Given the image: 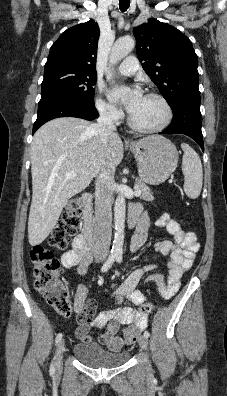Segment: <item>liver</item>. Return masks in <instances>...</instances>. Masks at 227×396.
Returning <instances> with one entry per match:
<instances>
[{"mask_svg": "<svg viewBox=\"0 0 227 396\" xmlns=\"http://www.w3.org/2000/svg\"><path fill=\"white\" fill-rule=\"evenodd\" d=\"M95 124L76 117L53 119L37 130L31 144L32 202L28 219L31 246L42 243L55 227L67 201L89 186L105 166L123 158L117 133L104 145ZM76 176L67 178L66 173Z\"/></svg>", "mask_w": 227, "mask_h": 396, "instance_id": "6515ba94", "label": "liver"}]
</instances>
